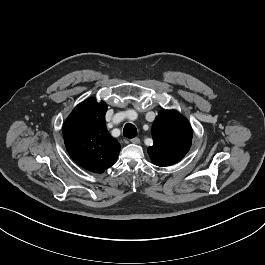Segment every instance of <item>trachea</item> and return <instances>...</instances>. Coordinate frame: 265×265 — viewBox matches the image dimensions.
I'll return each instance as SVG.
<instances>
[{
  "label": "trachea",
  "instance_id": "trachea-1",
  "mask_svg": "<svg viewBox=\"0 0 265 265\" xmlns=\"http://www.w3.org/2000/svg\"><path fill=\"white\" fill-rule=\"evenodd\" d=\"M123 135L126 138H135L137 136L136 127L131 123L126 124L124 129H123Z\"/></svg>",
  "mask_w": 265,
  "mask_h": 265
}]
</instances>
